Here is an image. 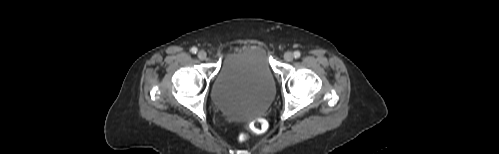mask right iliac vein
<instances>
[{"label": "right iliac vein", "instance_id": "obj_1", "mask_svg": "<svg viewBox=\"0 0 499 154\" xmlns=\"http://www.w3.org/2000/svg\"><path fill=\"white\" fill-rule=\"evenodd\" d=\"M198 58L200 60H205L207 58V53L205 51H203V50L199 51Z\"/></svg>", "mask_w": 499, "mask_h": 154}]
</instances>
